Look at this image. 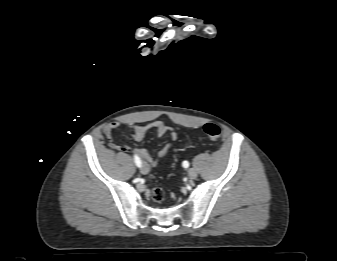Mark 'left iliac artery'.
<instances>
[{
  "mask_svg": "<svg viewBox=\"0 0 337 261\" xmlns=\"http://www.w3.org/2000/svg\"><path fill=\"white\" fill-rule=\"evenodd\" d=\"M182 166L184 168H188L189 167V162L188 161H183Z\"/></svg>",
  "mask_w": 337,
  "mask_h": 261,
  "instance_id": "left-iliac-artery-1",
  "label": "left iliac artery"
}]
</instances>
